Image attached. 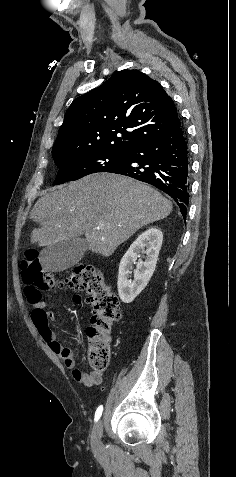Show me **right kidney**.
<instances>
[{
  "mask_svg": "<svg viewBox=\"0 0 236 477\" xmlns=\"http://www.w3.org/2000/svg\"><path fill=\"white\" fill-rule=\"evenodd\" d=\"M162 241V231L156 227L149 228L132 243L121 259L117 286L119 297L124 303L132 302L148 284L155 271ZM142 253H146L145 261L137 262ZM133 265H136V269L131 280Z\"/></svg>",
  "mask_w": 236,
  "mask_h": 477,
  "instance_id": "1",
  "label": "right kidney"
}]
</instances>
